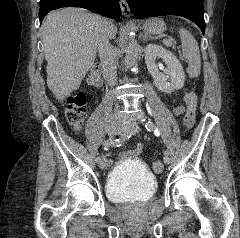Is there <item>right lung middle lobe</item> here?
<instances>
[{
	"mask_svg": "<svg viewBox=\"0 0 240 238\" xmlns=\"http://www.w3.org/2000/svg\"><path fill=\"white\" fill-rule=\"evenodd\" d=\"M48 0H40V5H43Z\"/></svg>",
	"mask_w": 240,
	"mask_h": 238,
	"instance_id": "right-lung-middle-lobe-1",
	"label": "right lung middle lobe"
}]
</instances>
